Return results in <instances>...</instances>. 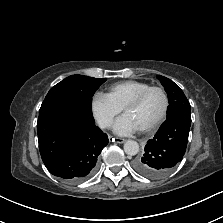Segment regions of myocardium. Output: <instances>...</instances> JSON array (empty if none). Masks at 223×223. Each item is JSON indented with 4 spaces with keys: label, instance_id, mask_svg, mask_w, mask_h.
<instances>
[{
    "label": "myocardium",
    "instance_id": "obj_1",
    "mask_svg": "<svg viewBox=\"0 0 223 223\" xmlns=\"http://www.w3.org/2000/svg\"><path fill=\"white\" fill-rule=\"evenodd\" d=\"M153 90H158L162 93V95L164 97V107H163V110H162V113L160 114V116L152 124L139 129V131L142 133H148V132H152V131L156 130L163 123L165 118L167 117L169 106H170V100H169L167 91L161 86H150V87L142 90L141 92H139L123 108V111L125 113L128 109L136 107L137 105H139L141 103V101L145 98V96Z\"/></svg>",
    "mask_w": 223,
    "mask_h": 223
}]
</instances>
